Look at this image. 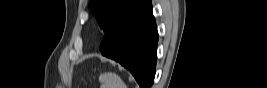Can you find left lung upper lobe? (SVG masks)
<instances>
[{
	"mask_svg": "<svg viewBox=\"0 0 267 88\" xmlns=\"http://www.w3.org/2000/svg\"><path fill=\"white\" fill-rule=\"evenodd\" d=\"M143 0H91L90 9L100 28L107 32L131 8Z\"/></svg>",
	"mask_w": 267,
	"mask_h": 88,
	"instance_id": "5c2ea615",
	"label": "left lung upper lobe"
}]
</instances>
